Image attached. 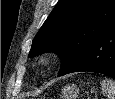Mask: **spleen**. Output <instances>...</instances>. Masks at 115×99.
<instances>
[{"label":"spleen","instance_id":"obj_1","mask_svg":"<svg viewBox=\"0 0 115 99\" xmlns=\"http://www.w3.org/2000/svg\"><path fill=\"white\" fill-rule=\"evenodd\" d=\"M102 92L108 99H115V81L111 79H103L101 82Z\"/></svg>","mask_w":115,"mask_h":99}]
</instances>
